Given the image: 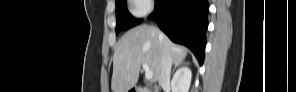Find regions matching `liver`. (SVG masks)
<instances>
[{"mask_svg":"<svg viewBox=\"0 0 296 92\" xmlns=\"http://www.w3.org/2000/svg\"><path fill=\"white\" fill-rule=\"evenodd\" d=\"M167 51L172 63L183 62L187 50L173 43L158 28L140 25L127 31L119 40L113 56L112 92H128L138 81L141 65L147 63L158 81L161 59Z\"/></svg>","mask_w":296,"mask_h":92,"instance_id":"6515ba94","label":"liver"}]
</instances>
